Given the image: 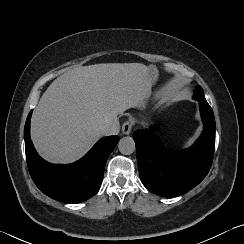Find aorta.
I'll return each mask as SVG.
<instances>
[{"instance_id":"762f6f07","label":"aorta","mask_w":244,"mask_h":244,"mask_svg":"<svg viewBox=\"0 0 244 244\" xmlns=\"http://www.w3.org/2000/svg\"><path fill=\"white\" fill-rule=\"evenodd\" d=\"M119 151L124 155H130L135 151V142L132 137L126 136L120 139L118 143Z\"/></svg>"}]
</instances>
